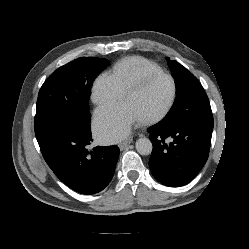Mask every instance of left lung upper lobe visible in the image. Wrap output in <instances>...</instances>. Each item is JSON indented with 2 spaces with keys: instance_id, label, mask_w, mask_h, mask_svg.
Wrapping results in <instances>:
<instances>
[{
  "instance_id": "obj_1",
  "label": "left lung upper lobe",
  "mask_w": 249,
  "mask_h": 249,
  "mask_svg": "<svg viewBox=\"0 0 249 249\" xmlns=\"http://www.w3.org/2000/svg\"><path fill=\"white\" fill-rule=\"evenodd\" d=\"M176 85V99L161 121L167 126H186L213 120L208 97L198 79L184 66L167 58Z\"/></svg>"
}]
</instances>
